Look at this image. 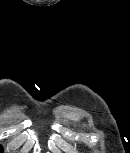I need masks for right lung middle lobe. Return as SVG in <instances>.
Listing matches in <instances>:
<instances>
[{
	"instance_id": "1",
	"label": "right lung middle lobe",
	"mask_w": 130,
	"mask_h": 153,
	"mask_svg": "<svg viewBox=\"0 0 130 153\" xmlns=\"http://www.w3.org/2000/svg\"><path fill=\"white\" fill-rule=\"evenodd\" d=\"M0 153H2V148L0 147Z\"/></svg>"
}]
</instances>
